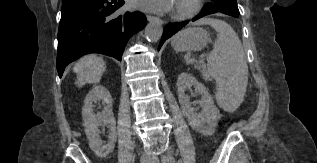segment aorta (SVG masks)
<instances>
[{
	"label": "aorta",
	"instance_id": "1",
	"mask_svg": "<svg viewBox=\"0 0 317 163\" xmlns=\"http://www.w3.org/2000/svg\"><path fill=\"white\" fill-rule=\"evenodd\" d=\"M163 34V26L159 19H155L146 26L145 37L150 42H157Z\"/></svg>",
	"mask_w": 317,
	"mask_h": 163
}]
</instances>
